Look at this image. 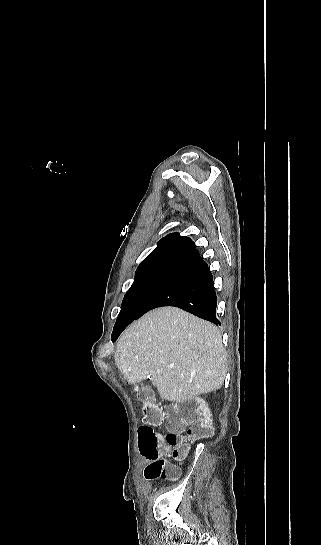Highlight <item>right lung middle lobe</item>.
Here are the masks:
<instances>
[{
    "label": "right lung middle lobe",
    "instance_id": "obj_1",
    "mask_svg": "<svg viewBox=\"0 0 321 545\" xmlns=\"http://www.w3.org/2000/svg\"><path fill=\"white\" fill-rule=\"evenodd\" d=\"M174 270L168 267L137 269L134 282L124 296L116 322L121 323L136 316Z\"/></svg>",
    "mask_w": 321,
    "mask_h": 545
}]
</instances>
